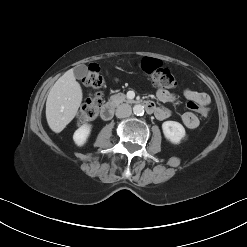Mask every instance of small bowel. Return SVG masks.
I'll list each match as a JSON object with an SVG mask.
<instances>
[{
    "label": "small bowel",
    "mask_w": 247,
    "mask_h": 247,
    "mask_svg": "<svg viewBox=\"0 0 247 247\" xmlns=\"http://www.w3.org/2000/svg\"><path fill=\"white\" fill-rule=\"evenodd\" d=\"M183 95L188 100V103H196L203 106H207L210 103L209 95L204 92L186 88L183 91ZM156 97L162 102H174L176 100L174 94L164 89H159L156 92ZM154 114L159 120H164L171 115V112L167 108L156 107ZM181 119L184 126L188 129H195L200 123L198 117L192 112H185Z\"/></svg>",
    "instance_id": "obj_1"
}]
</instances>
